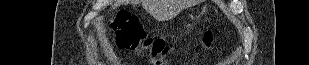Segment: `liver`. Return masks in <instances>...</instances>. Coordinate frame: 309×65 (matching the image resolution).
Returning <instances> with one entry per match:
<instances>
[{
    "instance_id": "1",
    "label": "liver",
    "mask_w": 309,
    "mask_h": 65,
    "mask_svg": "<svg viewBox=\"0 0 309 65\" xmlns=\"http://www.w3.org/2000/svg\"><path fill=\"white\" fill-rule=\"evenodd\" d=\"M119 2L120 1H117L115 4H114V8L115 7H117L118 5H119ZM159 1H145L144 2V6H145V8L147 9V10H149L151 13H153L156 9H157V7H158V5H159Z\"/></svg>"
}]
</instances>
